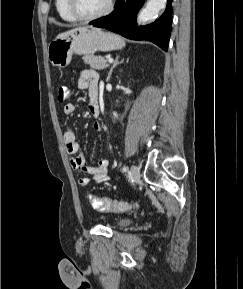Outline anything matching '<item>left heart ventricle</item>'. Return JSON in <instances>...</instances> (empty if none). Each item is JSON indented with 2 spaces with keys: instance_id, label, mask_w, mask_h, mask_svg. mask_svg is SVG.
Here are the masks:
<instances>
[{
  "instance_id": "b2bd125f",
  "label": "left heart ventricle",
  "mask_w": 243,
  "mask_h": 289,
  "mask_svg": "<svg viewBox=\"0 0 243 289\" xmlns=\"http://www.w3.org/2000/svg\"><path fill=\"white\" fill-rule=\"evenodd\" d=\"M108 0H75L77 11L85 16H91L101 12Z\"/></svg>"
}]
</instances>
